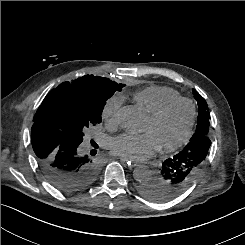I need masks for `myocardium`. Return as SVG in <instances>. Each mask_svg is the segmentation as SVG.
<instances>
[{"instance_id": "f54148a6", "label": "myocardium", "mask_w": 245, "mask_h": 245, "mask_svg": "<svg viewBox=\"0 0 245 245\" xmlns=\"http://www.w3.org/2000/svg\"><path fill=\"white\" fill-rule=\"evenodd\" d=\"M179 103H185L190 108V119H189L187 128H186L183 136L178 141H176L173 144L158 147L160 150L170 152V151H174V150L181 148L182 146H184L188 142V140L190 139V137L193 133V129H194L196 118H197V108H196L195 102L189 98H186V97H179V98H175V99H172V100L166 102L160 108H158L156 111L151 113L149 115V119L152 121H158L173 106H175L176 104H179Z\"/></svg>"}]
</instances>
